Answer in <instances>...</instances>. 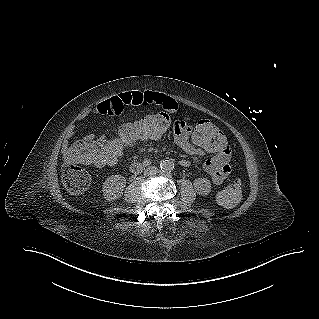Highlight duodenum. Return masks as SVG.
<instances>
[{"instance_id":"obj_1","label":"duodenum","mask_w":319,"mask_h":319,"mask_svg":"<svg viewBox=\"0 0 319 319\" xmlns=\"http://www.w3.org/2000/svg\"><path fill=\"white\" fill-rule=\"evenodd\" d=\"M133 169L135 172H141L144 170V167L142 165H135Z\"/></svg>"}]
</instances>
